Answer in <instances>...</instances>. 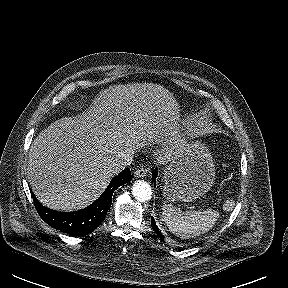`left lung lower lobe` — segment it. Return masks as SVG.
<instances>
[{
  "instance_id": "left-lung-lower-lobe-1",
  "label": "left lung lower lobe",
  "mask_w": 288,
  "mask_h": 288,
  "mask_svg": "<svg viewBox=\"0 0 288 288\" xmlns=\"http://www.w3.org/2000/svg\"><path fill=\"white\" fill-rule=\"evenodd\" d=\"M157 177V170L155 169L152 173V178L155 180ZM155 183V182H154ZM151 224H152V228L154 229L155 233L159 236V238L163 241L164 237L161 234V231L158 229L155 221L153 219H151Z\"/></svg>"
}]
</instances>
